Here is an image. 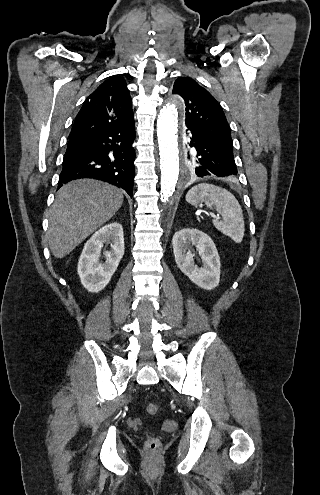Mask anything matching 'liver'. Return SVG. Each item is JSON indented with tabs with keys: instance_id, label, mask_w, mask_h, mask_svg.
Instances as JSON below:
<instances>
[{
	"instance_id": "liver-1",
	"label": "liver",
	"mask_w": 320,
	"mask_h": 495,
	"mask_svg": "<svg viewBox=\"0 0 320 495\" xmlns=\"http://www.w3.org/2000/svg\"><path fill=\"white\" fill-rule=\"evenodd\" d=\"M116 187L92 179L64 184L49 215L47 239L56 258H63L97 228L111 219L123 204Z\"/></svg>"
}]
</instances>
